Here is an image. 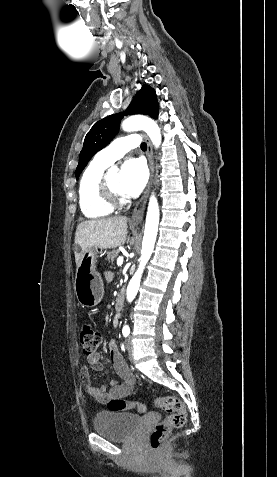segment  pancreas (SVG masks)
Instances as JSON below:
<instances>
[{
    "mask_svg": "<svg viewBox=\"0 0 277 477\" xmlns=\"http://www.w3.org/2000/svg\"><path fill=\"white\" fill-rule=\"evenodd\" d=\"M118 254H119V251L108 252L105 260L109 263H113L115 258L118 256Z\"/></svg>",
    "mask_w": 277,
    "mask_h": 477,
    "instance_id": "pancreas-1",
    "label": "pancreas"
}]
</instances>
